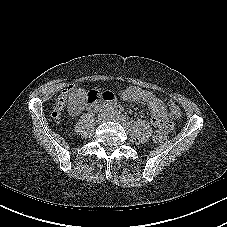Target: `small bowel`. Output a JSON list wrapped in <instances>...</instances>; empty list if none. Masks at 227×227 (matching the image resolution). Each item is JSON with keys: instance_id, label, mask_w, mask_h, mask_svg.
I'll return each instance as SVG.
<instances>
[{"instance_id": "1", "label": "small bowel", "mask_w": 227, "mask_h": 227, "mask_svg": "<svg viewBox=\"0 0 227 227\" xmlns=\"http://www.w3.org/2000/svg\"><path fill=\"white\" fill-rule=\"evenodd\" d=\"M122 98L131 102H145L152 113L151 122L154 127L164 130L171 127L164 102L151 92L138 87H131L124 91Z\"/></svg>"}]
</instances>
